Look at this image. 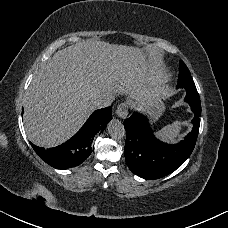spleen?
<instances>
[{"label": "spleen", "mask_w": 228, "mask_h": 228, "mask_svg": "<svg viewBox=\"0 0 228 228\" xmlns=\"http://www.w3.org/2000/svg\"><path fill=\"white\" fill-rule=\"evenodd\" d=\"M180 126V122H174L171 125L163 127L158 134L163 139L173 140L177 137V133L179 132Z\"/></svg>", "instance_id": "3e777b00"}]
</instances>
